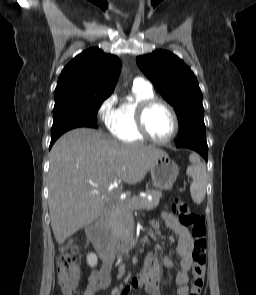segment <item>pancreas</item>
<instances>
[{
  "label": "pancreas",
  "instance_id": "cf45deb5",
  "mask_svg": "<svg viewBox=\"0 0 256 295\" xmlns=\"http://www.w3.org/2000/svg\"><path fill=\"white\" fill-rule=\"evenodd\" d=\"M146 194L151 195L152 200L133 196L130 199L119 200L115 203L106 222V230L114 244L124 241L129 235V224L133 220V211L135 209L150 211L158 206L162 192L148 189Z\"/></svg>",
  "mask_w": 256,
  "mask_h": 295
}]
</instances>
